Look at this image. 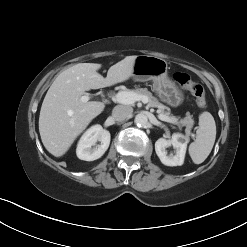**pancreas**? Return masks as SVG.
Returning a JSON list of instances; mask_svg holds the SVG:
<instances>
[{
    "label": "pancreas",
    "mask_w": 247,
    "mask_h": 247,
    "mask_svg": "<svg viewBox=\"0 0 247 247\" xmlns=\"http://www.w3.org/2000/svg\"><path fill=\"white\" fill-rule=\"evenodd\" d=\"M127 92H133L139 96H145L148 99V107H156L158 108V113L167 116V117H171V118H175L174 116L170 115L169 111H166V107L161 104L157 98H155L152 93L150 91H148L147 88H137L135 90H127ZM180 123L186 127V134L189 135L191 128L194 125V120L192 119V116L187 113L186 117L184 119L180 120Z\"/></svg>",
    "instance_id": "pancreas-1"
}]
</instances>
